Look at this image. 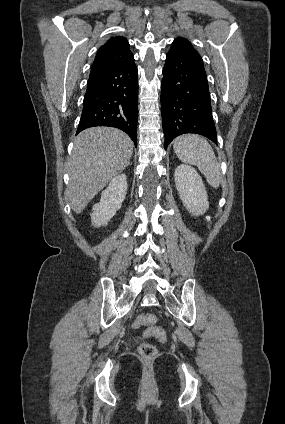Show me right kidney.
<instances>
[{
	"mask_svg": "<svg viewBox=\"0 0 285 424\" xmlns=\"http://www.w3.org/2000/svg\"><path fill=\"white\" fill-rule=\"evenodd\" d=\"M126 179L125 174L117 175L102 192L100 201L93 206V213L91 215L93 226H106L121 208L127 191Z\"/></svg>",
	"mask_w": 285,
	"mask_h": 424,
	"instance_id": "obj_1",
	"label": "right kidney"
}]
</instances>
